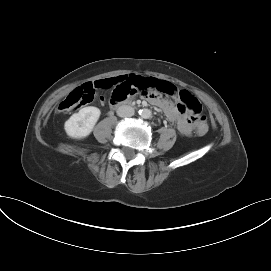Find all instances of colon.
<instances>
[{"mask_svg": "<svg viewBox=\"0 0 271 271\" xmlns=\"http://www.w3.org/2000/svg\"><path fill=\"white\" fill-rule=\"evenodd\" d=\"M96 93V90L90 87L81 86L76 88L60 102L58 111L63 113L70 112L86 105L95 99ZM179 100L178 109L182 113H188L195 121V130L198 135H205L209 130V125L206 117L201 115V105L199 101L187 91H181L179 93Z\"/></svg>", "mask_w": 271, "mask_h": 271, "instance_id": "5ec220e1", "label": "colon"}]
</instances>
